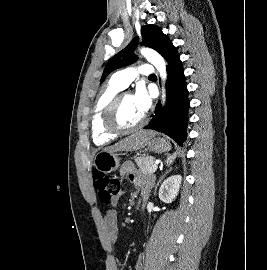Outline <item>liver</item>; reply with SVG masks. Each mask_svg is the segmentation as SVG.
Returning a JSON list of instances; mask_svg holds the SVG:
<instances>
[{
  "label": "liver",
  "mask_w": 267,
  "mask_h": 270,
  "mask_svg": "<svg viewBox=\"0 0 267 270\" xmlns=\"http://www.w3.org/2000/svg\"><path fill=\"white\" fill-rule=\"evenodd\" d=\"M154 135L152 131H138L127 136L117 143L105 148V151H136L143 148L150 136Z\"/></svg>",
  "instance_id": "obj_1"
}]
</instances>
